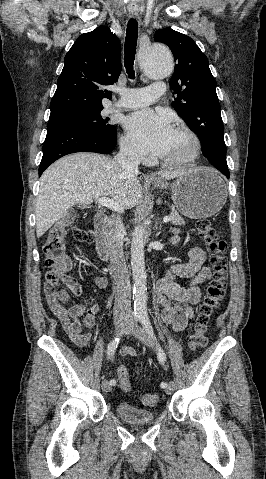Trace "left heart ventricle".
<instances>
[{"label":"left heart ventricle","instance_id":"obj_1","mask_svg":"<svg viewBox=\"0 0 266 479\" xmlns=\"http://www.w3.org/2000/svg\"><path fill=\"white\" fill-rule=\"evenodd\" d=\"M189 139L186 135L174 131L170 146L162 156L164 159H171L183 154L189 147Z\"/></svg>","mask_w":266,"mask_h":479}]
</instances>
